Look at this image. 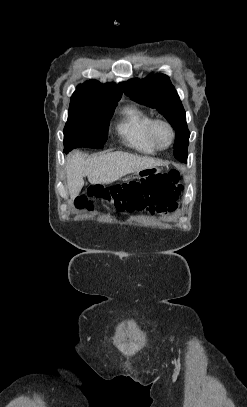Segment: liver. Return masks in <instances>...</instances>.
Instances as JSON below:
<instances>
[{"instance_id":"liver-1","label":"liver","mask_w":247,"mask_h":407,"mask_svg":"<svg viewBox=\"0 0 247 407\" xmlns=\"http://www.w3.org/2000/svg\"><path fill=\"white\" fill-rule=\"evenodd\" d=\"M163 162L126 152H113L86 158L77 151L67 157V186L71 199L77 197L84 186V177L91 184H110L136 171L161 166Z\"/></svg>"}]
</instances>
